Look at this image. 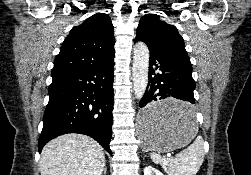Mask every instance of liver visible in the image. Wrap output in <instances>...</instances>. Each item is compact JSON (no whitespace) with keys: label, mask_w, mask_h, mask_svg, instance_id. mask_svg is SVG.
Returning <instances> with one entry per match:
<instances>
[{"label":"liver","mask_w":251,"mask_h":175,"mask_svg":"<svg viewBox=\"0 0 251 175\" xmlns=\"http://www.w3.org/2000/svg\"><path fill=\"white\" fill-rule=\"evenodd\" d=\"M104 151L92 137L66 133L51 139L42 149L41 175H101Z\"/></svg>","instance_id":"6515ba94"}]
</instances>
